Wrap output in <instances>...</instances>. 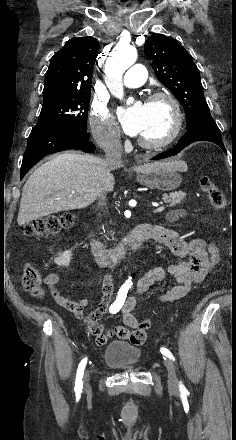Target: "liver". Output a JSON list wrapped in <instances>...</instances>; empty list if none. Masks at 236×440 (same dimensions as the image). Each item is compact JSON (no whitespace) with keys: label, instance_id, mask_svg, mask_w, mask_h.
<instances>
[{"label":"liver","instance_id":"obj_1","mask_svg":"<svg viewBox=\"0 0 236 440\" xmlns=\"http://www.w3.org/2000/svg\"><path fill=\"white\" fill-rule=\"evenodd\" d=\"M180 163H147L134 170L148 173L162 167H179ZM114 184L105 160L74 152L56 155L38 167L23 186L17 223L22 226L53 213L85 208L101 192L113 191Z\"/></svg>","mask_w":236,"mask_h":440}]
</instances>
